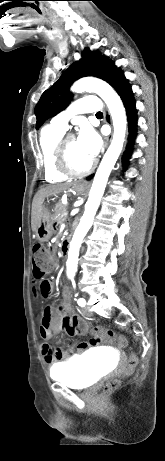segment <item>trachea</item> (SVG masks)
<instances>
[{"label":"trachea","mask_w":165,"mask_h":461,"mask_svg":"<svg viewBox=\"0 0 165 461\" xmlns=\"http://www.w3.org/2000/svg\"><path fill=\"white\" fill-rule=\"evenodd\" d=\"M101 115H103V113H102V112H98V113H96V116H101Z\"/></svg>","instance_id":"1"}]
</instances>
